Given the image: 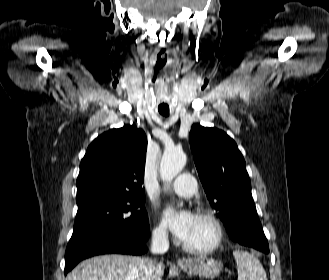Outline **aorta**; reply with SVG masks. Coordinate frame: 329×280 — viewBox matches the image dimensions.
I'll use <instances>...</instances> for the list:
<instances>
[{"label": "aorta", "instance_id": "1", "mask_svg": "<svg viewBox=\"0 0 329 280\" xmlns=\"http://www.w3.org/2000/svg\"><path fill=\"white\" fill-rule=\"evenodd\" d=\"M185 153L177 148H167L160 163V176L164 182H171L186 164Z\"/></svg>", "mask_w": 329, "mask_h": 280}]
</instances>
